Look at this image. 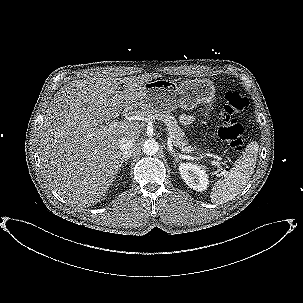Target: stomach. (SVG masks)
Listing matches in <instances>:
<instances>
[{
	"instance_id": "stomach-1",
	"label": "stomach",
	"mask_w": 303,
	"mask_h": 303,
	"mask_svg": "<svg viewBox=\"0 0 303 303\" xmlns=\"http://www.w3.org/2000/svg\"><path fill=\"white\" fill-rule=\"evenodd\" d=\"M140 104L146 113H170L177 108L191 110L199 104L210 105L215 88L207 79L186 80L179 84L168 79L149 81L143 86ZM207 117V112L204 113Z\"/></svg>"
}]
</instances>
